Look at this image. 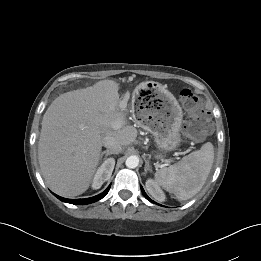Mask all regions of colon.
I'll use <instances>...</instances> for the list:
<instances>
[{
	"label": "colon",
	"instance_id": "obj_1",
	"mask_svg": "<svg viewBox=\"0 0 261 261\" xmlns=\"http://www.w3.org/2000/svg\"><path fill=\"white\" fill-rule=\"evenodd\" d=\"M179 96L187 112L184 135L191 139H201L212 129V123L203 108V100L189 89H182Z\"/></svg>",
	"mask_w": 261,
	"mask_h": 261
}]
</instances>
